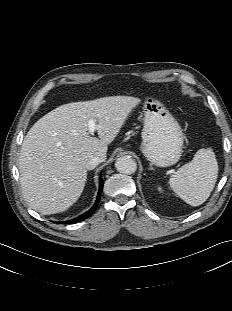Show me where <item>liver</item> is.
I'll return each mask as SVG.
<instances>
[{"label":"liver","instance_id":"6515ba94","mask_svg":"<svg viewBox=\"0 0 232 311\" xmlns=\"http://www.w3.org/2000/svg\"><path fill=\"white\" fill-rule=\"evenodd\" d=\"M139 98L111 96L61 105L40 118L25 136L19 157L20 183L28 205L42 215L66 211L81 196L86 161L106 160L110 144ZM94 120L99 138L91 136Z\"/></svg>","mask_w":232,"mask_h":311}]
</instances>
